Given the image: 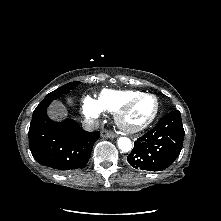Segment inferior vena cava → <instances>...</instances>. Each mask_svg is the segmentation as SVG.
Masks as SVG:
<instances>
[{
    "label": "inferior vena cava",
    "mask_w": 221,
    "mask_h": 221,
    "mask_svg": "<svg viewBox=\"0 0 221 221\" xmlns=\"http://www.w3.org/2000/svg\"><path fill=\"white\" fill-rule=\"evenodd\" d=\"M99 125L100 124L98 120H94V119L84 120L82 123L83 129L86 131H94L99 128Z\"/></svg>",
    "instance_id": "1"
}]
</instances>
